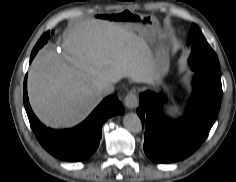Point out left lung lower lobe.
<instances>
[{
	"label": "left lung lower lobe",
	"mask_w": 236,
	"mask_h": 182,
	"mask_svg": "<svg viewBox=\"0 0 236 182\" xmlns=\"http://www.w3.org/2000/svg\"><path fill=\"white\" fill-rule=\"evenodd\" d=\"M185 115L172 120L162 113V97L151 91L140 95L137 113L145 128L144 152L156 163L187 158L203 143L213 126L222 100L221 76L197 69Z\"/></svg>",
	"instance_id": "0a47b994"
}]
</instances>
